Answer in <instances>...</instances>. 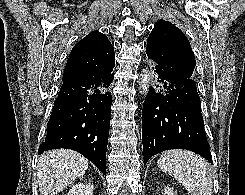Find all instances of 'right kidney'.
<instances>
[{
	"label": "right kidney",
	"mask_w": 245,
	"mask_h": 195,
	"mask_svg": "<svg viewBox=\"0 0 245 195\" xmlns=\"http://www.w3.org/2000/svg\"><path fill=\"white\" fill-rule=\"evenodd\" d=\"M67 195H93V184L78 183L73 185Z\"/></svg>",
	"instance_id": "1"
}]
</instances>
